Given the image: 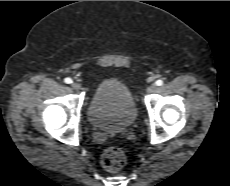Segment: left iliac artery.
I'll use <instances>...</instances> for the list:
<instances>
[{
	"label": "left iliac artery",
	"instance_id": "1",
	"mask_svg": "<svg viewBox=\"0 0 230 186\" xmlns=\"http://www.w3.org/2000/svg\"><path fill=\"white\" fill-rule=\"evenodd\" d=\"M155 84H156L157 86H161V85H163V80L159 79V80H157V81L155 82Z\"/></svg>",
	"mask_w": 230,
	"mask_h": 186
}]
</instances>
